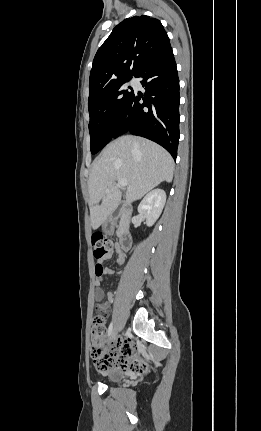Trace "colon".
Instances as JSON below:
<instances>
[{
	"instance_id": "5ec220e1",
	"label": "colon",
	"mask_w": 261,
	"mask_h": 431,
	"mask_svg": "<svg viewBox=\"0 0 261 431\" xmlns=\"http://www.w3.org/2000/svg\"><path fill=\"white\" fill-rule=\"evenodd\" d=\"M94 256L102 260L112 251L113 243L101 234L92 237ZM103 265L97 263L96 275H100ZM92 343L90 354L98 370L106 372L112 369L128 370L130 372H143L147 366L135 358V349L132 344L123 340L120 344H114L109 349L105 346V322L100 315L95 316L91 327Z\"/></svg>"
}]
</instances>
